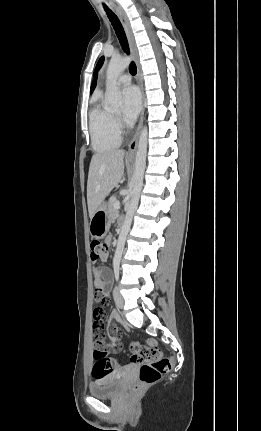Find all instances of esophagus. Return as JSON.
<instances>
[{"label":"esophagus","instance_id":"obj_1","mask_svg":"<svg viewBox=\"0 0 261 431\" xmlns=\"http://www.w3.org/2000/svg\"><path fill=\"white\" fill-rule=\"evenodd\" d=\"M116 12H117V14L121 20V23L123 25L124 30H125L127 40L129 43V47H130V51H131V54H132V56L135 60V63H136L137 81H138V85H139V88L141 91V104H142L141 105V115H140L139 123H138V126L136 128L135 134H134V136H133V138H132V140L128 146V154L133 155L137 149L138 140H139V136H140V132H141V128H142L143 116H144V99H145V96H144V88H143V82H142V77H141V67H140V62H139L138 50L136 47L134 35L132 33L129 20H128L125 12L121 8L116 7Z\"/></svg>","mask_w":261,"mask_h":431}]
</instances>
